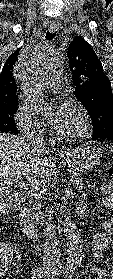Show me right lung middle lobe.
<instances>
[{
	"instance_id": "right-lung-middle-lobe-1",
	"label": "right lung middle lobe",
	"mask_w": 113,
	"mask_h": 279,
	"mask_svg": "<svg viewBox=\"0 0 113 279\" xmlns=\"http://www.w3.org/2000/svg\"><path fill=\"white\" fill-rule=\"evenodd\" d=\"M17 105L18 104H15L13 106L0 109V132L11 133L14 135L18 133L15 120L13 119L17 110Z\"/></svg>"
}]
</instances>
